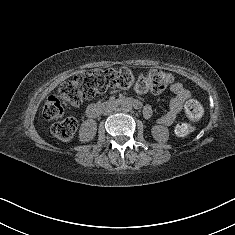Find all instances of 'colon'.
I'll return each mask as SVG.
<instances>
[{
  "label": "colon",
  "instance_id": "colon-1",
  "mask_svg": "<svg viewBox=\"0 0 235 235\" xmlns=\"http://www.w3.org/2000/svg\"><path fill=\"white\" fill-rule=\"evenodd\" d=\"M172 82L173 76L170 73L157 69L151 70L148 74H141L137 79L126 68L81 72L72 80L64 82L58 94L47 98L43 115L50 120L61 119L64 115V105L79 106L84 100L91 99L96 94L111 88L126 89L134 85L141 93L147 91L160 93ZM185 113L191 121H197L202 115V107L198 101L189 99L185 103ZM76 131L77 122L72 117L62 119L52 126L53 135L64 142L71 141ZM190 131L191 126L186 123H181L176 127L178 135H186Z\"/></svg>",
  "mask_w": 235,
  "mask_h": 235
}]
</instances>
